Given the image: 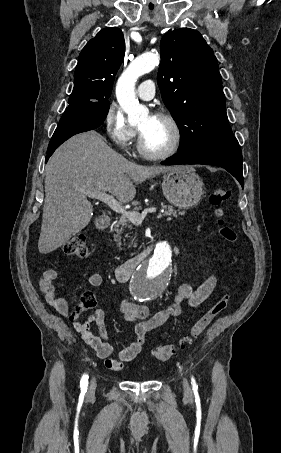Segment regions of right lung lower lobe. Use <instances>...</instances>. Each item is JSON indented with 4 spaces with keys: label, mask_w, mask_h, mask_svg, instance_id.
<instances>
[{
    "label": "right lung lower lobe",
    "mask_w": 281,
    "mask_h": 453,
    "mask_svg": "<svg viewBox=\"0 0 281 453\" xmlns=\"http://www.w3.org/2000/svg\"><path fill=\"white\" fill-rule=\"evenodd\" d=\"M110 103L67 107L49 142L45 162L71 136L97 128L105 119Z\"/></svg>",
    "instance_id": "obj_1"
}]
</instances>
